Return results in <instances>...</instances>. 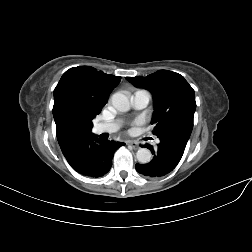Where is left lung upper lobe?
<instances>
[{
  "instance_id": "1",
  "label": "left lung upper lobe",
  "mask_w": 252,
  "mask_h": 252,
  "mask_svg": "<svg viewBox=\"0 0 252 252\" xmlns=\"http://www.w3.org/2000/svg\"><path fill=\"white\" fill-rule=\"evenodd\" d=\"M136 87L149 90L154 99L155 111L151 124L154 135L180 134L190 137L196 110L193 88L178 73L159 70L147 77H126Z\"/></svg>"
}]
</instances>
